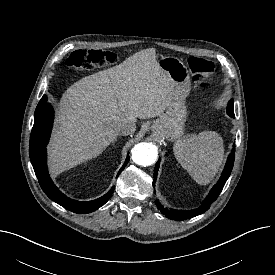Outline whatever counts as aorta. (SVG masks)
Returning a JSON list of instances; mask_svg holds the SVG:
<instances>
[{
  "instance_id": "1",
  "label": "aorta",
  "mask_w": 275,
  "mask_h": 275,
  "mask_svg": "<svg viewBox=\"0 0 275 275\" xmlns=\"http://www.w3.org/2000/svg\"><path fill=\"white\" fill-rule=\"evenodd\" d=\"M158 157L157 148L150 143H138L132 148V160L141 166H150Z\"/></svg>"
}]
</instances>
